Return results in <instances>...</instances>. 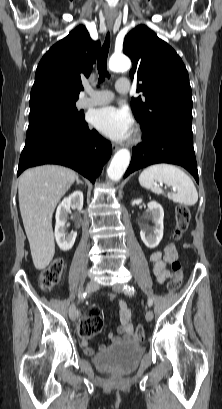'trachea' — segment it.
<instances>
[{"mask_svg":"<svg viewBox=\"0 0 222 409\" xmlns=\"http://www.w3.org/2000/svg\"><path fill=\"white\" fill-rule=\"evenodd\" d=\"M109 47H110V33L108 32L105 42L98 54V59H97V66H98V71H99V80H98L99 83L104 81L105 77L109 78V74L107 71V57H108Z\"/></svg>","mask_w":222,"mask_h":409,"instance_id":"trachea-1","label":"trachea"}]
</instances>
